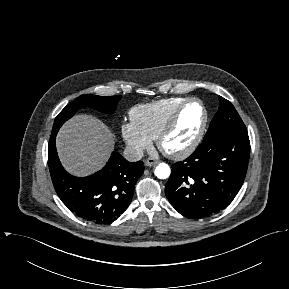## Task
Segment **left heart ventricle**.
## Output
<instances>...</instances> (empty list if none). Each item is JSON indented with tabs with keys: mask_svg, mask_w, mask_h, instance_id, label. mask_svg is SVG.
<instances>
[{
	"mask_svg": "<svg viewBox=\"0 0 289 289\" xmlns=\"http://www.w3.org/2000/svg\"><path fill=\"white\" fill-rule=\"evenodd\" d=\"M202 119L203 112L199 104L187 105L176 128L165 140V147L168 150H178L188 145L199 131Z\"/></svg>",
	"mask_w": 289,
	"mask_h": 289,
	"instance_id": "obj_1",
	"label": "left heart ventricle"
}]
</instances>
